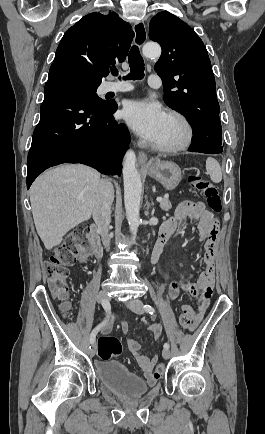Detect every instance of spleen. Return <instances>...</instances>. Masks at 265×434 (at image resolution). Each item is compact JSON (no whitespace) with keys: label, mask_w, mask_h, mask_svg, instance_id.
I'll use <instances>...</instances> for the list:
<instances>
[{"label":"spleen","mask_w":265,"mask_h":434,"mask_svg":"<svg viewBox=\"0 0 265 434\" xmlns=\"http://www.w3.org/2000/svg\"><path fill=\"white\" fill-rule=\"evenodd\" d=\"M206 172L209 174L212 182H215V184H219V182H221L222 172L220 164H218L217 160H214V158H207Z\"/></svg>","instance_id":"1"}]
</instances>
